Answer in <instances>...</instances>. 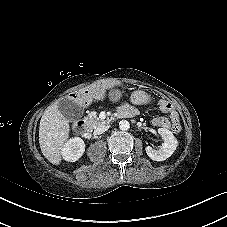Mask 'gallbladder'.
<instances>
[{
  "mask_svg": "<svg viewBox=\"0 0 227 227\" xmlns=\"http://www.w3.org/2000/svg\"><path fill=\"white\" fill-rule=\"evenodd\" d=\"M58 109L68 120L78 119L83 114L80 105L66 98L58 103Z\"/></svg>",
  "mask_w": 227,
  "mask_h": 227,
  "instance_id": "1",
  "label": "gallbladder"
}]
</instances>
